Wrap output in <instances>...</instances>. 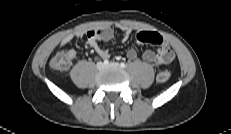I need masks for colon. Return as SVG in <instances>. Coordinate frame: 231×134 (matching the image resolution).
<instances>
[{
    "instance_id": "obj_1",
    "label": "colon",
    "mask_w": 231,
    "mask_h": 134,
    "mask_svg": "<svg viewBox=\"0 0 231 134\" xmlns=\"http://www.w3.org/2000/svg\"><path fill=\"white\" fill-rule=\"evenodd\" d=\"M71 63L70 58L64 52L56 53L50 60V66L57 71L66 70ZM171 72L167 69L161 70L157 74V80L159 82H166L170 79Z\"/></svg>"
}]
</instances>
